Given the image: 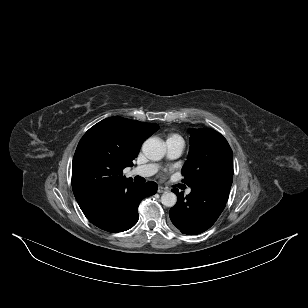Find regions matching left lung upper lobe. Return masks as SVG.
Instances as JSON below:
<instances>
[{
  "mask_svg": "<svg viewBox=\"0 0 308 308\" xmlns=\"http://www.w3.org/2000/svg\"><path fill=\"white\" fill-rule=\"evenodd\" d=\"M189 132L191 146L182 168L185 184L192 187L214 177L233 175V152L219 132L209 128Z\"/></svg>",
  "mask_w": 308,
  "mask_h": 308,
  "instance_id": "5c2ea615",
  "label": "left lung upper lobe"
}]
</instances>
